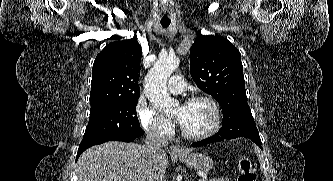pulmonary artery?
<instances>
[{
  "label": "pulmonary artery",
  "mask_w": 333,
  "mask_h": 181,
  "mask_svg": "<svg viewBox=\"0 0 333 181\" xmlns=\"http://www.w3.org/2000/svg\"><path fill=\"white\" fill-rule=\"evenodd\" d=\"M185 83L182 77L173 76L168 83V90L172 94H180L184 91Z\"/></svg>",
  "instance_id": "1"
}]
</instances>
